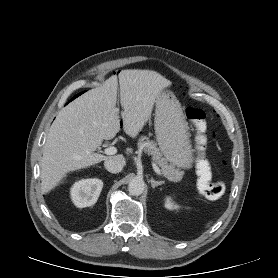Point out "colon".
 <instances>
[{
  "label": "colon",
  "instance_id": "5ec220e1",
  "mask_svg": "<svg viewBox=\"0 0 278 278\" xmlns=\"http://www.w3.org/2000/svg\"><path fill=\"white\" fill-rule=\"evenodd\" d=\"M186 116L193 123L196 129V150L198 154V170L201 192L210 199H218L225 192V184L223 181H210L209 167L204 161L206 149V113L197 107L189 106L186 108Z\"/></svg>",
  "mask_w": 278,
  "mask_h": 278
}]
</instances>
